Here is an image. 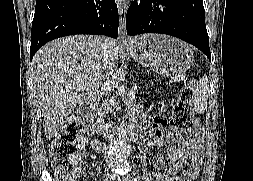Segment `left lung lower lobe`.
Instances as JSON below:
<instances>
[{
    "mask_svg": "<svg viewBox=\"0 0 253 181\" xmlns=\"http://www.w3.org/2000/svg\"><path fill=\"white\" fill-rule=\"evenodd\" d=\"M203 0H138L126 15L128 35L168 34L200 49L211 60Z\"/></svg>",
    "mask_w": 253,
    "mask_h": 181,
    "instance_id": "left-lung-lower-lobe-1",
    "label": "left lung lower lobe"
}]
</instances>
